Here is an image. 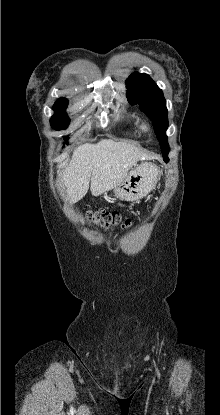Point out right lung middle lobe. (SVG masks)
I'll return each mask as SVG.
<instances>
[{"label":"right lung middle lobe","mask_w":220,"mask_h":415,"mask_svg":"<svg viewBox=\"0 0 220 415\" xmlns=\"http://www.w3.org/2000/svg\"><path fill=\"white\" fill-rule=\"evenodd\" d=\"M68 101L64 98H61L56 101L55 105L53 106V110L55 114L51 117L50 123L54 129H65L67 128L70 119L64 112L67 108Z\"/></svg>","instance_id":"obj_1"}]
</instances>
